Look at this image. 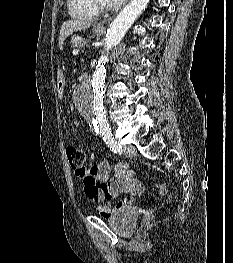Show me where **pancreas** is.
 I'll use <instances>...</instances> for the list:
<instances>
[{"instance_id": "cf45deb5", "label": "pancreas", "mask_w": 233, "mask_h": 263, "mask_svg": "<svg viewBox=\"0 0 233 263\" xmlns=\"http://www.w3.org/2000/svg\"><path fill=\"white\" fill-rule=\"evenodd\" d=\"M72 45L74 48H83L88 45V42L86 40H75L72 42Z\"/></svg>"}]
</instances>
